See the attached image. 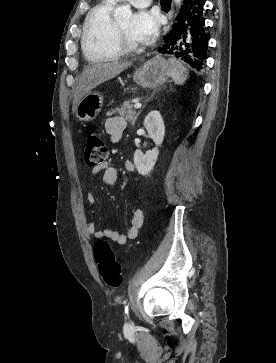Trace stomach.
<instances>
[{
    "label": "stomach",
    "mask_w": 276,
    "mask_h": 363,
    "mask_svg": "<svg viewBox=\"0 0 276 363\" xmlns=\"http://www.w3.org/2000/svg\"><path fill=\"white\" fill-rule=\"evenodd\" d=\"M169 61L160 55L152 57L138 68L133 79L136 84L146 89H156L163 85L170 77ZM103 106V97L99 92L90 91L79 101L75 113L79 120L93 121Z\"/></svg>",
    "instance_id": "0dacf381"
}]
</instances>
